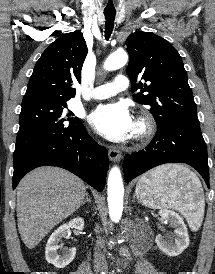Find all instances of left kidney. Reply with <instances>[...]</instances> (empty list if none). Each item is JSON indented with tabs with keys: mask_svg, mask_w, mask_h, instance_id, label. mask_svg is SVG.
Masks as SVG:
<instances>
[{
	"mask_svg": "<svg viewBox=\"0 0 215 274\" xmlns=\"http://www.w3.org/2000/svg\"><path fill=\"white\" fill-rule=\"evenodd\" d=\"M159 215L163 220L168 221L174 228L175 239L171 236H156V244L158 248L170 257L180 255L189 245V236L187 227L183 219L174 211L161 209Z\"/></svg>",
	"mask_w": 215,
	"mask_h": 274,
	"instance_id": "left-kidney-1",
	"label": "left kidney"
}]
</instances>
